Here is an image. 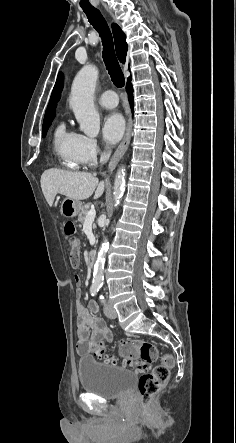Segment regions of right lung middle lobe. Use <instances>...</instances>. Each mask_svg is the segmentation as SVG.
I'll use <instances>...</instances> for the list:
<instances>
[{"label": "right lung middle lobe", "mask_w": 236, "mask_h": 443, "mask_svg": "<svg viewBox=\"0 0 236 443\" xmlns=\"http://www.w3.org/2000/svg\"><path fill=\"white\" fill-rule=\"evenodd\" d=\"M52 120L53 119L43 122V130H42L43 137L46 136L47 130H48L49 126L51 125Z\"/></svg>", "instance_id": "right-lung-middle-lobe-1"}]
</instances>
